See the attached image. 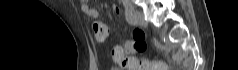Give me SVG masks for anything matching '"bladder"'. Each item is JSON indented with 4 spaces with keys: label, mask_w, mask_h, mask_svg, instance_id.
I'll return each instance as SVG.
<instances>
[{
    "label": "bladder",
    "mask_w": 238,
    "mask_h": 70,
    "mask_svg": "<svg viewBox=\"0 0 238 70\" xmlns=\"http://www.w3.org/2000/svg\"><path fill=\"white\" fill-rule=\"evenodd\" d=\"M111 70H122V69H120V68H112Z\"/></svg>",
    "instance_id": "1"
}]
</instances>
